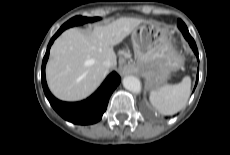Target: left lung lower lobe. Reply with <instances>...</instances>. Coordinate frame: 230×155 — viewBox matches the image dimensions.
<instances>
[{
    "instance_id": "left-lung-lower-lobe-1",
    "label": "left lung lower lobe",
    "mask_w": 230,
    "mask_h": 155,
    "mask_svg": "<svg viewBox=\"0 0 230 155\" xmlns=\"http://www.w3.org/2000/svg\"><path fill=\"white\" fill-rule=\"evenodd\" d=\"M183 35H184L185 39L189 42L192 50L194 51V53L197 55V58H198V49H197V46H196V43H195L194 39L187 32L183 33ZM198 61H199V58H198ZM197 82H198V74H197V80H196L195 87L197 85Z\"/></svg>"
}]
</instances>
